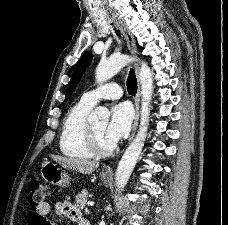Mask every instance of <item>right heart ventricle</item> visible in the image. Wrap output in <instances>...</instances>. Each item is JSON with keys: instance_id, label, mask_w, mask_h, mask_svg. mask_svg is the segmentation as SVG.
I'll use <instances>...</instances> for the list:
<instances>
[{"instance_id": "1", "label": "right heart ventricle", "mask_w": 228, "mask_h": 225, "mask_svg": "<svg viewBox=\"0 0 228 225\" xmlns=\"http://www.w3.org/2000/svg\"><path fill=\"white\" fill-rule=\"evenodd\" d=\"M92 108L80 99L66 113L59 138V148L64 156L89 159L97 155L89 141L88 116Z\"/></svg>"}]
</instances>
